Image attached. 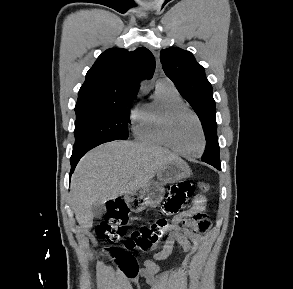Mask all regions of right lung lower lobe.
<instances>
[{
  "label": "right lung lower lobe",
  "instance_id": "obj_1",
  "mask_svg": "<svg viewBox=\"0 0 293 289\" xmlns=\"http://www.w3.org/2000/svg\"><path fill=\"white\" fill-rule=\"evenodd\" d=\"M89 149H84V150H80V151H73L72 156L70 158V163H71V172H70V176L72 174V172L74 171L78 161L80 160V158L88 151Z\"/></svg>",
  "mask_w": 293,
  "mask_h": 289
}]
</instances>
